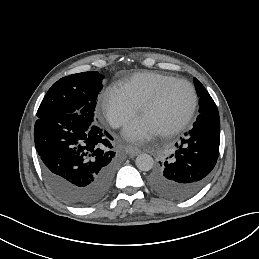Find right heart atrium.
Wrapping results in <instances>:
<instances>
[{
    "label": "right heart atrium",
    "mask_w": 259,
    "mask_h": 259,
    "mask_svg": "<svg viewBox=\"0 0 259 259\" xmlns=\"http://www.w3.org/2000/svg\"><path fill=\"white\" fill-rule=\"evenodd\" d=\"M100 114L113 127L119 128L135 119L141 106L129 97L120 87L106 86L98 96Z\"/></svg>",
    "instance_id": "right-heart-atrium-1"
}]
</instances>
